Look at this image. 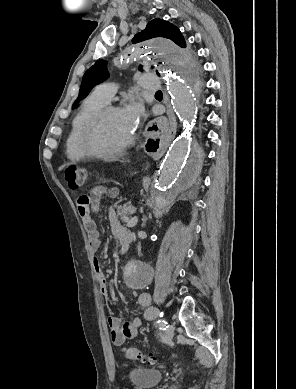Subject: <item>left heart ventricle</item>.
Listing matches in <instances>:
<instances>
[{
	"label": "left heart ventricle",
	"instance_id": "obj_1",
	"mask_svg": "<svg viewBox=\"0 0 296 389\" xmlns=\"http://www.w3.org/2000/svg\"><path fill=\"white\" fill-rule=\"evenodd\" d=\"M133 133L122 111L113 112L101 121L96 135L98 149H113L123 144Z\"/></svg>",
	"mask_w": 296,
	"mask_h": 389
}]
</instances>
